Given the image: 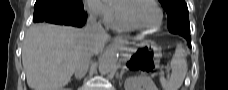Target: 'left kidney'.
I'll return each instance as SVG.
<instances>
[{"label":"left kidney","mask_w":228,"mask_h":90,"mask_svg":"<svg viewBox=\"0 0 228 90\" xmlns=\"http://www.w3.org/2000/svg\"><path fill=\"white\" fill-rule=\"evenodd\" d=\"M124 88L125 90H158L154 82L146 76L128 78Z\"/></svg>","instance_id":"obj_1"}]
</instances>
